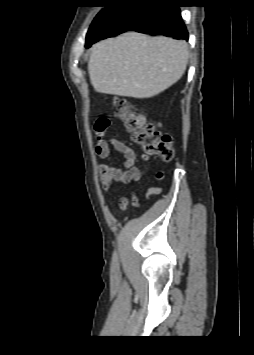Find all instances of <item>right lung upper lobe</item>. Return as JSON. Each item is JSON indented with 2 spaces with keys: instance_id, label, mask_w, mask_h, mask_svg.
Returning <instances> with one entry per match:
<instances>
[{
  "instance_id": "obj_1",
  "label": "right lung upper lobe",
  "mask_w": 254,
  "mask_h": 355,
  "mask_svg": "<svg viewBox=\"0 0 254 355\" xmlns=\"http://www.w3.org/2000/svg\"><path fill=\"white\" fill-rule=\"evenodd\" d=\"M103 1L109 4H124V3L135 2L138 0H103Z\"/></svg>"
}]
</instances>
